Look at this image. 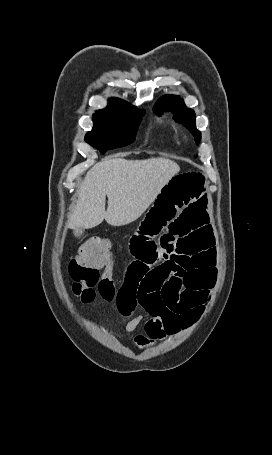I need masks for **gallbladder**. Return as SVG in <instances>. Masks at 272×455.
I'll return each instance as SVG.
<instances>
[{
    "label": "gallbladder",
    "mask_w": 272,
    "mask_h": 455,
    "mask_svg": "<svg viewBox=\"0 0 272 455\" xmlns=\"http://www.w3.org/2000/svg\"><path fill=\"white\" fill-rule=\"evenodd\" d=\"M83 229L82 228H76L74 231L75 236H81L83 234Z\"/></svg>",
    "instance_id": "1"
}]
</instances>
